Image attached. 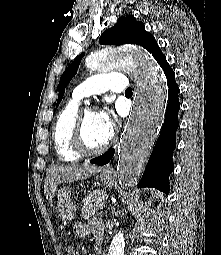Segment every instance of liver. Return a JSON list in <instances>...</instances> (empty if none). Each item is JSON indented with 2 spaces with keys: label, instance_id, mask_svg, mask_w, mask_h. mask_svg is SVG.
Segmentation results:
<instances>
[{
  "label": "liver",
  "instance_id": "6515ba94",
  "mask_svg": "<svg viewBox=\"0 0 221 255\" xmlns=\"http://www.w3.org/2000/svg\"><path fill=\"white\" fill-rule=\"evenodd\" d=\"M99 172H101V167L89 163H84L82 166L69 165L49 169L44 182V193L47 200L52 202L59 184L85 180Z\"/></svg>",
  "mask_w": 221,
  "mask_h": 255
}]
</instances>
